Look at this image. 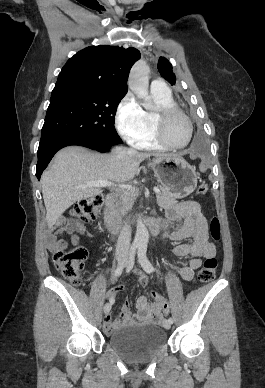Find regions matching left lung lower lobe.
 <instances>
[{
  "label": "left lung lower lobe",
  "mask_w": 265,
  "mask_h": 388,
  "mask_svg": "<svg viewBox=\"0 0 265 388\" xmlns=\"http://www.w3.org/2000/svg\"><path fill=\"white\" fill-rule=\"evenodd\" d=\"M193 149L198 152H203L205 150V143L201 134H197L193 143Z\"/></svg>",
  "instance_id": "0a47b994"
}]
</instances>
